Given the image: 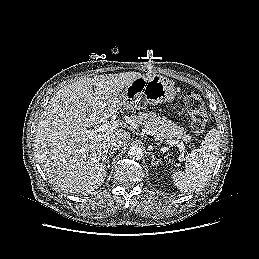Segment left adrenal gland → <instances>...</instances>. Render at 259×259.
<instances>
[{
    "label": "left adrenal gland",
    "instance_id": "obj_1",
    "mask_svg": "<svg viewBox=\"0 0 259 259\" xmlns=\"http://www.w3.org/2000/svg\"><path fill=\"white\" fill-rule=\"evenodd\" d=\"M151 156H152V162H151V164H152L153 166L157 165V164L159 163V160L156 161V158H155L154 153H151Z\"/></svg>",
    "mask_w": 259,
    "mask_h": 259
}]
</instances>
